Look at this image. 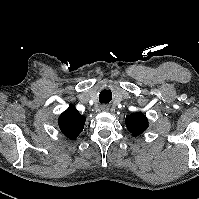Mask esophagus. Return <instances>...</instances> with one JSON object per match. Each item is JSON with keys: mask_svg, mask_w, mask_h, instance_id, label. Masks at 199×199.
I'll return each mask as SVG.
<instances>
[{"mask_svg": "<svg viewBox=\"0 0 199 199\" xmlns=\"http://www.w3.org/2000/svg\"><path fill=\"white\" fill-rule=\"evenodd\" d=\"M101 109H102L103 111H108V110H109V106H107V105H102V106H101Z\"/></svg>", "mask_w": 199, "mask_h": 199, "instance_id": "obj_1", "label": "esophagus"}]
</instances>
